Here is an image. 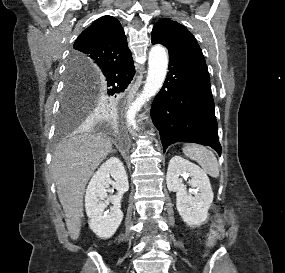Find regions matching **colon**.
I'll return each mask as SVG.
<instances>
[{
  "label": "colon",
  "instance_id": "5ec220e1",
  "mask_svg": "<svg viewBox=\"0 0 285 273\" xmlns=\"http://www.w3.org/2000/svg\"><path fill=\"white\" fill-rule=\"evenodd\" d=\"M225 225H226L225 218L221 214H216L207 241V247L209 249L213 248L217 240L223 237L225 231Z\"/></svg>",
  "mask_w": 285,
  "mask_h": 273
}]
</instances>
